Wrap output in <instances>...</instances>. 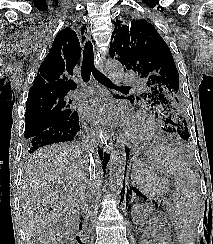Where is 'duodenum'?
Here are the masks:
<instances>
[{
  "instance_id": "1",
  "label": "duodenum",
  "mask_w": 213,
  "mask_h": 244,
  "mask_svg": "<svg viewBox=\"0 0 213 244\" xmlns=\"http://www.w3.org/2000/svg\"><path fill=\"white\" fill-rule=\"evenodd\" d=\"M82 231H83L82 223L77 222L74 225L75 234L70 236L74 240L75 244H82L81 242V239L83 238Z\"/></svg>"
}]
</instances>
